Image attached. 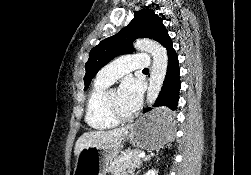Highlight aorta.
<instances>
[{
    "label": "aorta",
    "instance_id": "1",
    "mask_svg": "<svg viewBox=\"0 0 251 175\" xmlns=\"http://www.w3.org/2000/svg\"><path fill=\"white\" fill-rule=\"evenodd\" d=\"M134 48L139 52H148L153 58L147 91L148 105H152L155 103L165 80L168 66L167 52L161 44H157L153 40H136Z\"/></svg>",
    "mask_w": 251,
    "mask_h": 175
}]
</instances>
